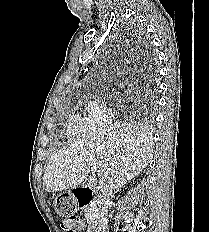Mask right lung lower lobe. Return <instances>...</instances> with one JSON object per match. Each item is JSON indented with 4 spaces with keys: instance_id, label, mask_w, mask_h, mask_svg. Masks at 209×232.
Masks as SVG:
<instances>
[{
    "instance_id": "1",
    "label": "right lung lower lobe",
    "mask_w": 209,
    "mask_h": 232,
    "mask_svg": "<svg viewBox=\"0 0 209 232\" xmlns=\"http://www.w3.org/2000/svg\"><path fill=\"white\" fill-rule=\"evenodd\" d=\"M142 57L144 59V62L146 63V67L147 69H151L154 66L155 63V55L152 51V49L146 45L143 49H142Z\"/></svg>"
}]
</instances>
